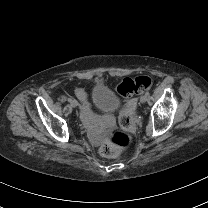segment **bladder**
Here are the masks:
<instances>
[{"mask_svg":"<svg viewBox=\"0 0 208 208\" xmlns=\"http://www.w3.org/2000/svg\"><path fill=\"white\" fill-rule=\"evenodd\" d=\"M93 108L97 111H111L118 102L117 95L106 85L93 84V96L91 98Z\"/></svg>","mask_w":208,"mask_h":208,"instance_id":"obj_1","label":"bladder"}]
</instances>
